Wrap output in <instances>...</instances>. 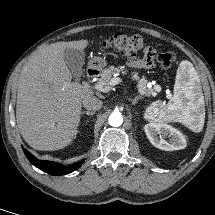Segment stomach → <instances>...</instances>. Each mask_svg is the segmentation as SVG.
I'll list each match as a JSON object with an SVG mask.
<instances>
[{
	"label": "stomach",
	"instance_id": "0dacf381",
	"mask_svg": "<svg viewBox=\"0 0 215 215\" xmlns=\"http://www.w3.org/2000/svg\"><path fill=\"white\" fill-rule=\"evenodd\" d=\"M106 64V60L102 57H94L89 62V65L95 69H102Z\"/></svg>",
	"mask_w": 215,
	"mask_h": 215
}]
</instances>
